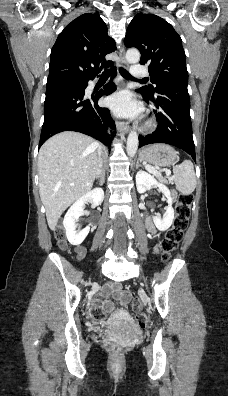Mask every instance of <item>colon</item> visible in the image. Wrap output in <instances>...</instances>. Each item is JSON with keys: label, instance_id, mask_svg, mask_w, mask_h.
<instances>
[{"label": "colon", "instance_id": "obj_1", "mask_svg": "<svg viewBox=\"0 0 228 396\" xmlns=\"http://www.w3.org/2000/svg\"><path fill=\"white\" fill-rule=\"evenodd\" d=\"M192 196L190 194H180L178 197V203L176 207V217L173 222L172 228L167 232L164 240L162 241V247L164 250L163 259L164 261H169L171 254L178 247L183 232L188 226V218L190 215V207L192 204ZM56 239L63 245L64 244V232L62 228H57L55 230ZM133 309L136 311V320L138 325L143 328L146 326L147 318L142 312L143 304L139 301L133 303ZM104 317V312L100 307L95 308L94 318L96 320H102ZM111 350L115 353L121 351V347L117 343L111 344Z\"/></svg>", "mask_w": 228, "mask_h": 396}]
</instances>
